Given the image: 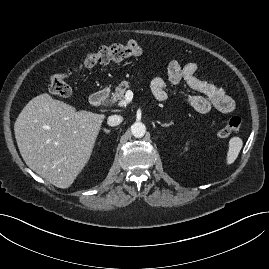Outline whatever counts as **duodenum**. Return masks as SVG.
<instances>
[{
    "mask_svg": "<svg viewBox=\"0 0 269 269\" xmlns=\"http://www.w3.org/2000/svg\"><path fill=\"white\" fill-rule=\"evenodd\" d=\"M109 97V90L104 88L94 92L90 97V102L95 107L102 106Z\"/></svg>",
    "mask_w": 269,
    "mask_h": 269,
    "instance_id": "duodenum-1",
    "label": "duodenum"
}]
</instances>
